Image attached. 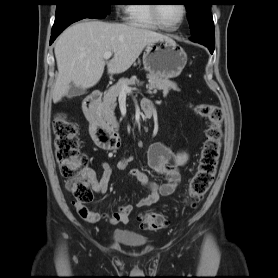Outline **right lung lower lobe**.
Instances as JSON below:
<instances>
[{"label": "right lung lower lobe", "mask_w": 278, "mask_h": 278, "mask_svg": "<svg viewBox=\"0 0 278 278\" xmlns=\"http://www.w3.org/2000/svg\"><path fill=\"white\" fill-rule=\"evenodd\" d=\"M83 18H78V19H73V20H70L68 22H65L57 27H53L52 28V36H51V39H50V44L56 39V37L65 29L67 28L70 24L78 21V20H81Z\"/></svg>", "instance_id": "98d812e1"}]
</instances>
